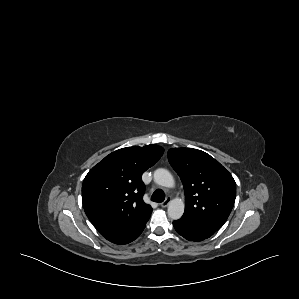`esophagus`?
Masks as SVG:
<instances>
[{
    "label": "esophagus",
    "mask_w": 299,
    "mask_h": 299,
    "mask_svg": "<svg viewBox=\"0 0 299 299\" xmlns=\"http://www.w3.org/2000/svg\"><path fill=\"white\" fill-rule=\"evenodd\" d=\"M170 201H171V198L167 197L165 199V201L160 204V206L163 207V208H165V207H167L169 205Z\"/></svg>",
    "instance_id": "1"
}]
</instances>
